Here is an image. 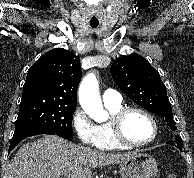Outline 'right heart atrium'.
I'll list each match as a JSON object with an SVG mask.
<instances>
[{
	"mask_svg": "<svg viewBox=\"0 0 194 178\" xmlns=\"http://www.w3.org/2000/svg\"><path fill=\"white\" fill-rule=\"evenodd\" d=\"M71 126L79 142L85 146H95L97 141L96 126L80 107L71 116Z\"/></svg>",
	"mask_w": 194,
	"mask_h": 178,
	"instance_id": "1",
	"label": "right heart atrium"
}]
</instances>
